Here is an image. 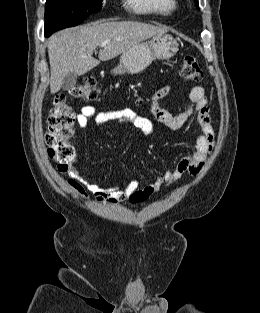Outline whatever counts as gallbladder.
<instances>
[{
	"label": "gallbladder",
	"mask_w": 260,
	"mask_h": 313,
	"mask_svg": "<svg viewBox=\"0 0 260 313\" xmlns=\"http://www.w3.org/2000/svg\"><path fill=\"white\" fill-rule=\"evenodd\" d=\"M77 75L74 74V73H68L64 78H63V81H62V89L65 90V91H69L71 90L74 85L76 84V81H77Z\"/></svg>",
	"instance_id": "1"
}]
</instances>
